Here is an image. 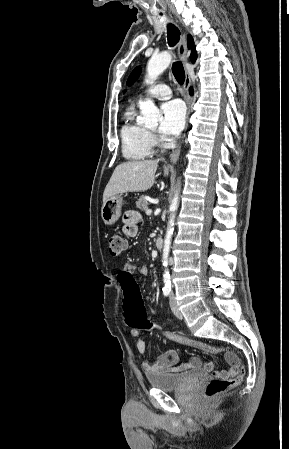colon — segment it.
I'll return each mask as SVG.
<instances>
[{
    "instance_id": "colon-1",
    "label": "colon",
    "mask_w": 289,
    "mask_h": 449,
    "mask_svg": "<svg viewBox=\"0 0 289 449\" xmlns=\"http://www.w3.org/2000/svg\"><path fill=\"white\" fill-rule=\"evenodd\" d=\"M127 248V241L119 234H113L109 237V251L113 256H118ZM120 290L123 291L122 305L126 310L127 325L139 331H153L159 335L167 337L177 342H183L188 346L198 348L213 354L220 351L214 347L206 344L190 340L177 333L165 330L157 325H154L147 317L146 310L143 306L142 296L137 294V280L134 278L132 271L122 269L117 273ZM244 375V368L240 367L238 373L232 377H224L213 373V378L207 383L205 387V395L208 398L218 396L228 389L236 386L242 380Z\"/></svg>"
}]
</instances>
